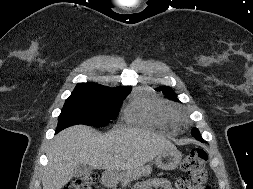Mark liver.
Returning a JSON list of instances; mask_svg holds the SVG:
<instances>
[{"label":"liver","instance_id":"1","mask_svg":"<svg viewBox=\"0 0 253 189\" xmlns=\"http://www.w3.org/2000/svg\"><path fill=\"white\" fill-rule=\"evenodd\" d=\"M176 149L165 137L140 128H114L100 134L85 125L69 127L51 141L43 189H61L74 176L76 165L125 171L127 180L143 173L144 165L165 150Z\"/></svg>","mask_w":253,"mask_h":189}]
</instances>
